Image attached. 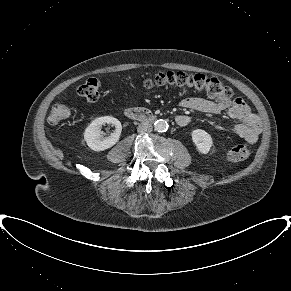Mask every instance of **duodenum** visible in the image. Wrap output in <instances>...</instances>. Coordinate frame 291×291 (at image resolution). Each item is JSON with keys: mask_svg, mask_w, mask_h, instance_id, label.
I'll return each instance as SVG.
<instances>
[{"mask_svg": "<svg viewBox=\"0 0 291 291\" xmlns=\"http://www.w3.org/2000/svg\"><path fill=\"white\" fill-rule=\"evenodd\" d=\"M125 116L131 120L141 122H152L156 116L148 109L142 107H133L125 111Z\"/></svg>", "mask_w": 291, "mask_h": 291, "instance_id": "duodenum-1", "label": "duodenum"}]
</instances>
